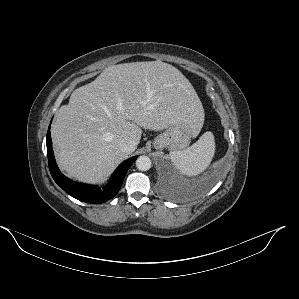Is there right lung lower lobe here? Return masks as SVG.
<instances>
[{"instance_id":"obj_1","label":"right lung lower lobe","mask_w":299,"mask_h":299,"mask_svg":"<svg viewBox=\"0 0 299 299\" xmlns=\"http://www.w3.org/2000/svg\"><path fill=\"white\" fill-rule=\"evenodd\" d=\"M47 155L50 173L54 181L72 197L92 204H100L113 198L118 193L128 169L137 159V156H134L121 163L112 175L108 186L97 188L96 186L73 182L61 174L55 162L49 130L47 132Z\"/></svg>"}]
</instances>
